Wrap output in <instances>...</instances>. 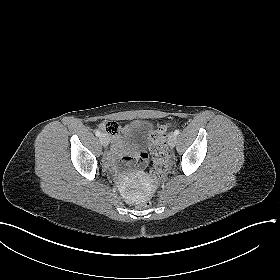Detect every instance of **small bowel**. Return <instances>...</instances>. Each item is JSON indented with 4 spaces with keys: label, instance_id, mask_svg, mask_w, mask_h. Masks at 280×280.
I'll return each mask as SVG.
<instances>
[{
    "label": "small bowel",
    "instance_id": "obj_1",
    "mask_svg": "<svg viewBox=\"0 0 280 280\" xmlns=\"http://www.w3.org/2000/svg\"><path fill=\"white\" fill-rule=\"evenodd\" d=\"M118 151L126 152L123 148H120V147L116 148L113 151H110L106 157V163L109 166L112 165V162L114 161L115 157L117 156ZM147 158H148V155L146 153H144V152L137 153V152L133 151L130 154H124L122 157V160L128 165L139 164V165L145 166L147 163Z\"/></svg>",
    "mask_w": 280,
    "mask_h": 280
}]
</instances>
